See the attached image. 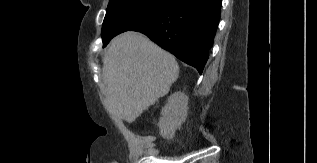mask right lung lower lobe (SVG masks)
I'll use <instances>...</instances> for the list:
<instances>
[{"label": "right lung lower lobe", "mask_w": 317, "mask_h": 163, "mask_svg": "<svg viewBox=\"0 0 317 163\" xmlns=\"http://www.w3.org/2000/svg\"><path fill=\"white\" fill-rule=\"evenodd\" d=\"M221 2L171 0L155 16L130 30L147 35L202 74L219 23Z\"/></svg>", "instance_id": "right-lung-lower-lobe-1"}]
</instances>
